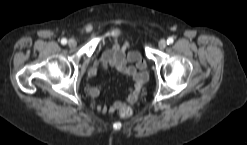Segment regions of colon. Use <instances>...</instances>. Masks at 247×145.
<instances>
[{
  "label": "colon",
  "instance_id": "1",
  "mask_svg": "<svg viewBox=\"0 0 247 145\" xmlns=\"http://www.w3.org/2000/svg\"><path fill=\"white\" fill-rule=\"evenodd\" d=\"M132 113V108L128 105H123L119 110V115L123 118H129Z\"/></svg>",
  "mask_w": 247,
  "mask_h": 145
}]
</instances>
